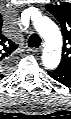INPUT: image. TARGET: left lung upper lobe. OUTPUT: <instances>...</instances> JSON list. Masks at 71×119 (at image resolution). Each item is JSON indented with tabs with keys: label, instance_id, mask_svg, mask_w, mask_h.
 Segmentation results:
<instances>
[{
	"label": "left lung upper lobe",
	"instance_id": "1",
	"mask_svg": "<svg viewBox=\"0 0 71 119\" xmlns=\"http://www.w3.org/2000/svg\"><path fill=\"white\" fill-rule=\"evenodd\" d=\"M46 9L59 21L64 37L59 68L71 70V3L47 4Z\"/></svg>",
	"mask_w": 71,
	"mask_h": 119
}]
</instances>
